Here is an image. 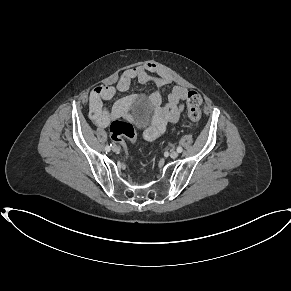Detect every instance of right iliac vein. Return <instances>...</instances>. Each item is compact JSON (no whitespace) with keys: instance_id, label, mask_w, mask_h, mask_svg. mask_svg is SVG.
<instances>
[{"instance_id":"right-iliac-vein-1","label":"right iliac vein","mask_w":291,"mask_h":291,"mask_svg":"<svg viewBox=\"0 0 291 291\" xmlns=\"http://www.w3.org/2000/svg\"><path fill=\"white\" fill-rule=\"evenodd\" d=\"M112 150H113V152H119V147L117 146V145H113L112 146Z\"/></svg>"}]
</instances>
